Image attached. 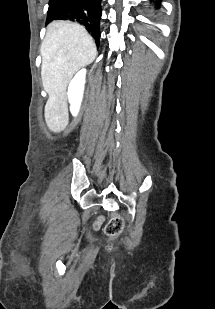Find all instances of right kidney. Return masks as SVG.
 <instances>
[{
	"label": "right kidney",
	"mask_w": 215,
	"mask_h": 309,
	"mask_svg": "<svg viewBox=\"0 0 215 309\" xmlns=\"http://www.w3.org/2000/svg\"><path fill=\"white\" fill-rule=\"evenodd\" d=\"M86 68H81L79 72H76L74 78H72L69 86H68V100L70 102V110L73 116H76L79 112V108L81 106L83 92H84V84L86 82Z\"/></svg>",
	"instance_id": "obj_1"
}]
</instances>
